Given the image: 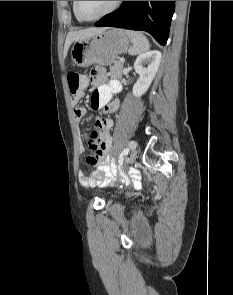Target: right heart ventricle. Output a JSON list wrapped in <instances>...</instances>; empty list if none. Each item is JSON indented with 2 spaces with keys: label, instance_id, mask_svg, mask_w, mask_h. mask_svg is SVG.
<instances>
[{
  "label": "right heart ventricle",
  "instance_id": "right-heart-ventricle-1",
  "mask_svg": "<svg viewBox=\"0 0 233 295\" xmlns=\"http://www.w3.org/2000/svg\"><path fill=\"white\" fill-rule=\"evenodd\" d=\"M73 10H74V3H73ZM74 14H75V12H74ZM75 16H76V18L78 19V20H80L78 17H77V15L75 14ZM81 21V20H80Z\"/></svg>",
  "mask_w": 233,
  "mask_h": 295
}]
</instances>
